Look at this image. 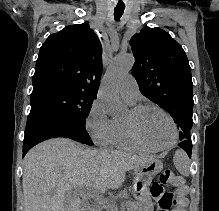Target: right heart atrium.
Instances as JSON below:
<instances>
[{
	"mask_svg": "<svg viewBox=\"0 0 219 211\" xmlns=\"http://www.w3.org/2000/svg\"><path fill=\"white\" fill-rule=\"evenodd\" d=\"M85 125L96 144H112L116 130L115 119L110 117L108 110L99 100L92 102L85 118Z\"/></svg>",
	"mask_w": 219,
	"mask_h": 211,
	"instance_id": "right-heart-atrium-1",
	"label": "right heart atrium"
}]
</instances>
